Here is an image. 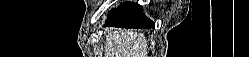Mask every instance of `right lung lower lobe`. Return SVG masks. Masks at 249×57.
I'll return each instance as SVG.
<instances>
[{
	"mask_svg": "<svg viewBox=\"0 0 249 57\" xmlns=\"http://www.w3.org/2000/svg\"><path fill=\"white\" fill-rule=\"evenodd\" d=\"M105 26L145 29L153 27L154 22L143 14L140 5L125 2L109 13Z\"/></svg>",
	"mask_w": 249,
	"mask_h": 57,
	"instance_id": "obj_1",
	"label": "right lung lower lobe"
}]
</instances>
